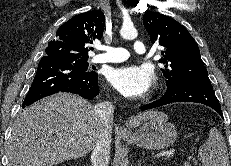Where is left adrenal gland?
Returning a JSON list of instances; mask_svg holds the SVG:
<instances>
[{"label":"left adrenal gland","mask_w":231,"mask_h":166,"mask_svg":"<svg viewBox=\"0 0 231 166\" xmlns=\"http://www.w3.org/2000/svg\"><path fill=\"white\" fill-rule=\"evenodd\" d=\"M138 166H142L141 160L138 161Z\"/></svg>","instance_id":"left-adrenal-gland-1"}]
</instances>
